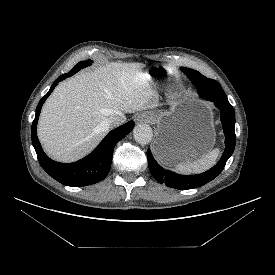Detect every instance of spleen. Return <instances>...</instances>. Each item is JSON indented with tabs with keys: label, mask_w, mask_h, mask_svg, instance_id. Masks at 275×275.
I'll list each match as a JSON object with an SVG mask.
<instances>
[{
	"label": "spleen",
	"mask_w": 275,
	"mask_h": 275,
	"mask_svg": "<svg viewBox=\"0 0 275 275\" xmlns=\"http://www.w3.org/2000/svg\"><path fill=\"white\" fill-rule=\"evenodd\" d=\"M219 153L220 150L218 148H215L196 161L177 164L175 166V169L183 174L201 173L211 168L216 163Z\"/></svg>",
	"instance_id": "1"
}]
</instances>
